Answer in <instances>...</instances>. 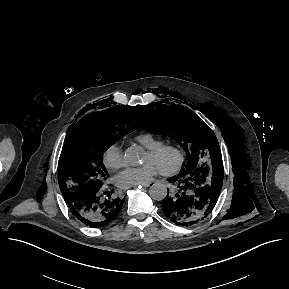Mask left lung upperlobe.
I'll use <instances>...</instances> for the list:
<instances>
[{
    "label": "left lung upper lobe",
    "instance_id": "1",
    "mask_svg": "<svg viewBox=\"0 0 289 289\" xmlns=\"http://www.w3.org/2000/svg\"><path fill=\"white\" fill-rule=\"evenodd\" d=\"M137 123L153 134L173 137L187 153L179 175L196 170L211 174L223 170L221 151L212 130L192 110L183 106L150 103L138 107Z\"/></svg>",
    "mask_w": 289,
    "mask_h": 289
}]
</instances>
